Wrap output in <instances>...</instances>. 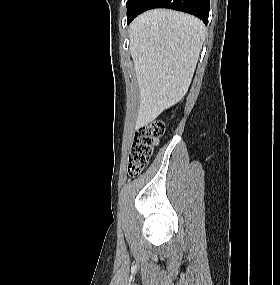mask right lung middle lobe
I'll return each mask as SVG.
<instances>
[{
  "mask_svg": "<svg viewBox=\"0 0 280 285\" xmlns=\"http://www.w3.org/2000/svg\"><path fill=\"white\" fill-rule=\"evenodd\" d=\"M140 2V0H128L127 1V16H129L130 14H132L135 10V8L137 7L138 3Z\"/></svg>",
  "mask_w": 280,
  "mask_h": 285,
  "instance_id": "dd1d6c3e",
  "label": "right lung middle lobe"
}]
</instances>
